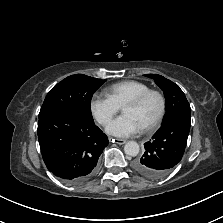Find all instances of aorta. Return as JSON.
<instances>
[{
  "mask_svg": "<svg viewBox=\"0 0 223 223\" xmlns=\"http://www.w3.org/2000/svg\"><path fill=\"white\" fill-rule=\"evenodd\" d=\"M139 145L135 141H129L124 145V152L126 155L135 157L139 154Z\"/></svg>",
  "mask_w": 223,
  "mask_h": 223,
  "instance_id": "aorta-1",
  "label": "aorta"
}]
</instances>
